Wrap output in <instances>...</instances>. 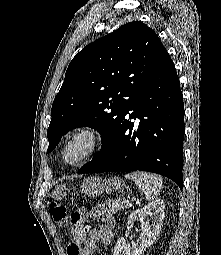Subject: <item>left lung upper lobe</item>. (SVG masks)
<instances>
[{
	"label": "left lung upper lobe",
	"instance_id": "obj_1",
	"mask_svg": "<svg viewBox=\"0 0 221 255\" xmlns=\"http://www.w3.org/2000/svg\"><path fill=\"white\" fill-rule=\"evenodd\" d=\"M165 54L156 33L140 21L127 23L83 48L70 62L54 99L47 153L61 136L81 126L101 134L102 149Z\"/></svg>",
	"mask_w": 221,
	"mask_h": 255
}]
</instances>
